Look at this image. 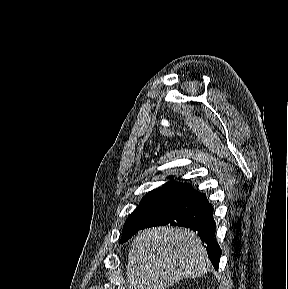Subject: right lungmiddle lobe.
Returning <instances> with one entry per match:
<instances>
[{
  "label": "right lung middle lobe",
  "instance_id": "obj_1",
  "mask_svg": "<svg viewBox=\"0 0 288 289\" xmlns=\"http://www.w3.org/2000/svg\"><path fill=\"white\" fill-rule=\"evenodd\" d=\"M186 190L161 188L146 194L140 205L131 213L125 222L120 244L126 242L138 230L169 210L187 193Z\"/></svg>",
  "mask_w": 288,
  "mask_h": 289
}]
</instances>
